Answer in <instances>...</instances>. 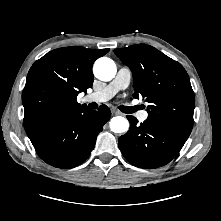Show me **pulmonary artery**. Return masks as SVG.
Returning <instances> with one entry per match:
<instances>
[{
	"mask_svg": "<svg viewBox=\"0 0 221 221\" xmlns=\"http://www.w3.org/2000/svg\"><path fill=\"white\" fill-rule=\"evenodd\" d=\"M131 80V71L127 67H121L115 78L107 86L88 94L85 97L86 102H105L116 95L120 90H124L128 87ZM138 118L140 121H145L148 118V112L142 111L139 113Z\"/></svg>",
	"mask_w": 221,
	"mask_h": 221,
	"instance_id": "pulmonary-artery-1",
	"label": "pulmonary artery"
}]
</instances>
